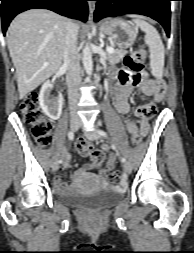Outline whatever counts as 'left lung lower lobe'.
Returning <instances> with one entry per match:
<instances>
[{
  "mask_svg": "<svg viewBox=\"0 0 194 253\" xmlns=\"http://www.w3.org/2000/svg\"><path fill=\"white\" fill-rule=\"evenodd\" d=\"M98 1L95 21L105 17L124 14H141L157 20L165 29L167 36L170 31L171 0H95Z\"/></svg>",
  "mask_w": 194,
  "mask_h": 253,
  "instance_id": "left-lung-lower-lobe-1",
  "label": "left lung lower lobe"
}]
</instances>
